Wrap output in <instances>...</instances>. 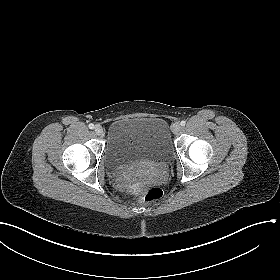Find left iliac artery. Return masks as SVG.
<instances>
[{
  "label": "left iliac artery",
  "instance_id": "left-iliac-artery-1",
  "mask_svg": "<svg viewBox=\"0 0 280 280\" xmlns=\"http://www.w3.org/2000/svg\"><path fill=\"white\" fill-rule=\"evenodd\" d=\"M185 124H186V121H184V120L181 121V123H180L181 126H185Z\"/></svg>",
  "mask_w": 280,
  "mask_h": 280
}]
</instances>
